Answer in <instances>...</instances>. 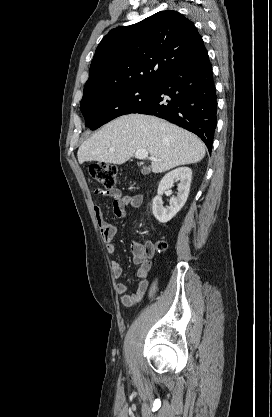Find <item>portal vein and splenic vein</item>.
Segmentation results:
<instances>
[{
  "mask_svg": "<svg viewBox=\"0 0 272 417\" xmlns=\"http://www.w3.org/2000/svg\"><path fill=\"white\" fill-rule=\"evenodd\" d=\"M115 150L113 149V148H111L110 149V152H114ZM135 157L136 158H138V159H150V160H152V161H157V159L156 158H154V157H149L148 156V152L146 151V150H138L136 153H135Z\"/></svg>",
  "mask_w": 272,
  "mask_h": 417,
  "instance_id": "18ae733b",
  "label": "portal vein and splenic vein"
}]
</instances>
